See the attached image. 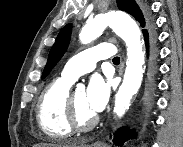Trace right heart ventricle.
I'll return each instance as SVG.
<instances>
[{
  "label": "right heart ventricle",
  "instance_id": "obj_1",
  "mask_svg": "<svg viewBox=\"0 0 183 147\" xmlns=\"http://www.w3.org/2000/svg\"><path fill=\"white\" fill-rule=\"evenodd\" d=\"M72 82L59 77L43 90L37 104V121L49 138L64 139L72 135L67 101Z\"/></svg>",
  "mask_w": 183,
  "mask_h": 147
}]
</instances>
